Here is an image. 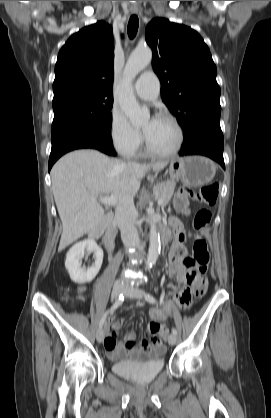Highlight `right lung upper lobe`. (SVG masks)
Here are the masks:
<instances>
[{"instance_id": "cb5924a9", "label": "right lung upper lobe", "mask_w": 271, "mask_h": 418, "mask_svg": "<svg viewBox=\"0 0 271 418\" xmlns=\"http://www.w3.org/2000/svg\"><path fill=\"white\" fill-rule=\"evenodd\" d=\"M114 44L104 21L73 34L55 65L53 101L75 95L113 96Z\"/></svg>"}]
</instances>
